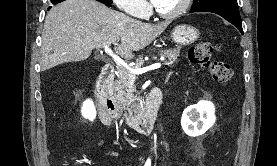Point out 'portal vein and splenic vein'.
I'll use <instances>...</instances> for the list:
<instances>
[{"mask_svg": "<svg viewBox=\"0 0 277 166\" xmlns=\"http://www.w3.org/2000/svg\"><path fill=\"white\" fill-rule=\"evenodd\" d=\"M105 53L108 54L110 57H112V59L114 60V62L118 65V66H123L125 68H127L129 71H131L133 74H140L143 73L147 70H151V69H158L161 67L160 63H156L153 64L147 68L144 69H133L130 68L127 63H125V61H123L119 56H117L116 54L113 53V51L110 49L109 45H106L104 47Z\"/></svg>", "mask_w": 277, "mask_h": 166, "instance_id": "1", "label": "portal vein and splenic vein"}]
</instances>
